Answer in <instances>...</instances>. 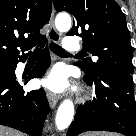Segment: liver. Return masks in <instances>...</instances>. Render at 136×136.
<instances>
[{
    "instance_id": "6515ba94",
    "label": "liver",
    "mask_w": 136,
    "mask_h": 136,
    "mask_svg": "<svg viewBox=\"0 0 136 136\" xmlns=\"http://www.w3.org/2000/svg\"><path fill=\"white\" fill-rule=\"evenodd\" d=\"M0 136H23V134L8 127L0 126Z\"/></svg>"
}]
</instances>
